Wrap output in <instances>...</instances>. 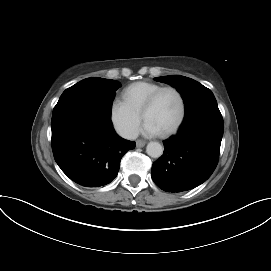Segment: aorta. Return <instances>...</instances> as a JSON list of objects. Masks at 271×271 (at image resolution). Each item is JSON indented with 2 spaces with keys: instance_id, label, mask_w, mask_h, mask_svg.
Wrapping results in <instances>:
<instances>
[{
  "instance_id": "aorta-1",
  "label": "aorta",
  "mask_w": 271,
  "mask_h": 271,
  "mask_svg": "<svg viewBox=\"0 0 271 271\" xmlns=\"http://www.w3.org/2000/svg\"><path fill=\"white\" fill-rule=\"evenodd\" d=\"M146 153L153 158H159L163 154V147L159 142H149L146 147Z\"/></svg>"
}]
</instances>
